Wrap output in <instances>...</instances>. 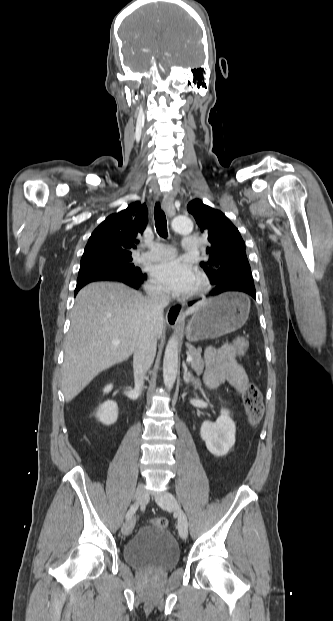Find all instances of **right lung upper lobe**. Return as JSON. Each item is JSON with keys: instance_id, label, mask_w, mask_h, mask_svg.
<instances>
[{"instance_id": "1", "label": "right lung upper lobe", "mask_w": 333, "mask_h": 621, "mask_svg": "<svg viewBox=\"0 0 333 621\" xmlns=\"http://www.w3.org/2000/svg\"><path fill=\"white\" fill-rule=\"evenodd\" d=\"M147 216L146 204L139 201L109 215L93 231L82 258L131 256L139 243L137 237L145 230Z\"/></svg>"}]
</instances>
